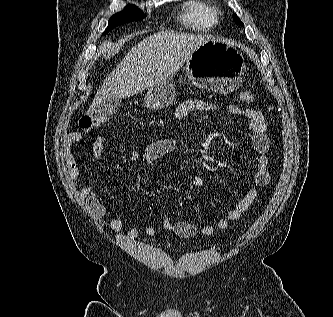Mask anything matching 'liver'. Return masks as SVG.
Here are the masks:
<instances>
[{"label": "liver", "instance_id": "liver-1", "mask_svg": "<svg viewBox=\"0 0 333 317\" xmlns=\"http://www.w3.org/2000/svg\"><path fill=\"white\" fill-rule=\"evenodd\" d=\"M209 35L160 31L140 41L126 54L97 91L87 115L104 100L126 98L173 77Z\"/></svg>", "mask_w": 333, "mask_h": 317}]
</instances>
